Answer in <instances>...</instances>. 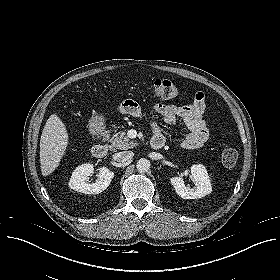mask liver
Here are the masks:
<instances>
[{"instance_id":"liver-1","label":"liver","mask_w":280,"mask_h":280,"mask_svg":"<svg viewBox=\"0 0 280 280\" xmlns=\"http://www.w3.org/2000/svg\"><path fill=\"white\" fill-rule=\"evenodd\" d=\"M69 136L64 123L56 114L50 115L40 139V164L43 176L59 166L68 145Z\"/></svg>"}]
</instances>
